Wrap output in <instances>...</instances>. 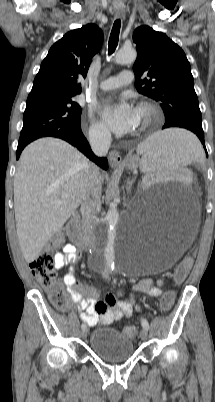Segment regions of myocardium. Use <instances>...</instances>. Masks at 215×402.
I'll return each instance as SVG.
<instances>
[{
  "label": "myocardium",
  "instance_id": "obj_1",
  "mask_svg": "<svg viewBox=\"0 0 215 402\" xmlns=\"http://www.w3.org/2000/svg\"><path fill=\"white\" fill-rule=\"evenodd\" d=\"M136 110L140 111L145 116V120L141 128L133 133L134 136H140L152 126L154 120L158 116V109L149 101H141L138 103Z\"/></svg>",
  "mask_w": 215,
  "mask_h": 402
}]
</instances>
